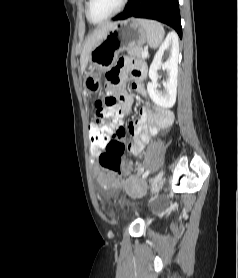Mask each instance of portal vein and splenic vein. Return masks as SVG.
<instances>
[{"label":"portal vein and splenic vein","mask_w":238,"mask_h":278,"mask_svg":"<svg viewBox=\"0 0 238 278\" xmlns=\"http://www.w3.org/2000/svg\"><path fill=\"white\" fill-rule=\"evenodd\" d=\"M142 56H143L144 58H146V57L148 56V49H147V48L144 49V51H143V53H142Z\"/></svg>","instance_id":"1"}]
</instances>
